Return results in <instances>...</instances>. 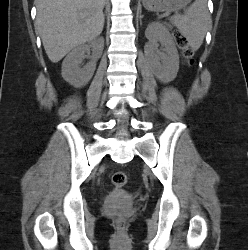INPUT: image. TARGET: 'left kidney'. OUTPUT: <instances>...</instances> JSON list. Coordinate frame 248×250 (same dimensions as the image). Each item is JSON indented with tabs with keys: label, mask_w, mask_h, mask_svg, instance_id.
Returning <instances> with one entry per match:
<instances>
[{
	"label": "left kidney",
	"mask_w": 248,
	"mask_h": 250,
	"mask_svg": "<svg viewBox=\"0 0 248 250\" xmlns=\"http://www.w3.org/2000/svg\"><path fill=\"white\" fill-rule=\"evenodd\" d=\"M145 36L149 40L147 49L152 53V71L160 81H172L179 70V55L169 31L159 23L147 26ZM157 42L164 46V52L157 51Z\"/></svg>",
	"instance_id": "5707ae66"
}]
</instances>
